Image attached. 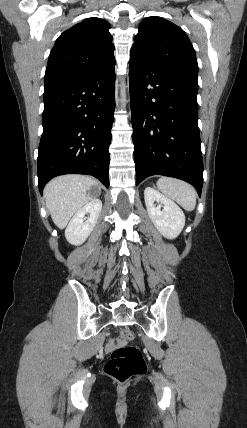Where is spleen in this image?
<instances>
[{"label": "spleen", "instance_id": "1", "mask_svg": "<svg viewBox=\"0 0 247 428\" xmlns=\"http://www.w3.org/2000/svg\"><path fill=\"white\" fill-rule=\"evenodd\" d=\"M158 189L170 199L175 200L187 211H193L196 206L197 193L190 184L170 177H161L157 181Z\"/></svg>", "mask_w": 247, "mask_h": 428}]
</instances>
